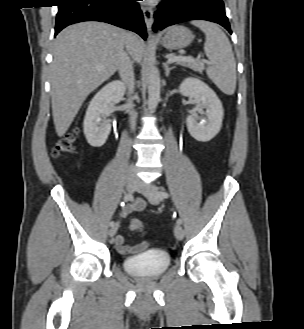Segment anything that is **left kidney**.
Here are the masks:
<instances>
[{"mask_svg": "<svg viewBox=\"0 0 304 329\" xmlns=\"http://www.w3.org/2000/svg\"><path fill=\"white\" fill-rule=\"evenodd\" d=\"M179 90L182 95L195 100L198 111L206 109L205 118L198 116L195 112L187 117L188 132L197 141H210L222 127L224 110L221 101L216 93L198 78L184 79Z\"/></svg>", "mask_w": 304, "mask_h": 329, "instance_id": "5707ae66", "label": "left kidney"}]
</instances>
